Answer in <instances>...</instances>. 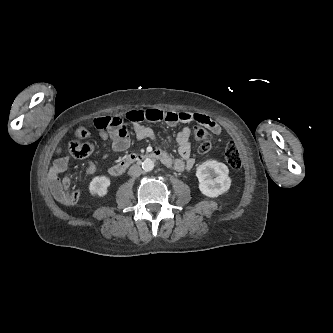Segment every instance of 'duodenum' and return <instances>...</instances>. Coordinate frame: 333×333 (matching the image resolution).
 Instances as JSON below:
<instances>
[{
  "mask_svg": "<svg viewBox=\"0 0 333 333\" xmlns=\"http://www.w3.org/2000/svg\"><path fill=\"white\" fill-rule=\"evenodd\" d=\"M157 160L164 163L165 158L159 151L147 152V153H132L125 156L123 159L113 164L109 171L112 175L120 176L126 172V170L134 165L144 162L146 160Z\"/></svg>",
  "mask_w": 333,
  "mask_h": 333,
  "instance_id": "obj_1",
  "label": "duodenum"
}]
</instances>
